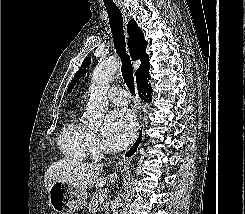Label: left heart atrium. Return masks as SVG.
I'll use <instances>...</instances> for the list:
<instances>
[{
	"label": "left heart atrium",
	"instance_id": "obj_1",
	"mask_svg": "<svg viewBox=\"0 0 245 214\" xmlns=\"http://www.w3.org/2000/svg\"><path fill=\"white\" fill-rule=\"evenodd\" d=\"M136 122L133 114L119 108L110 112L102 127V139L109 152H116L126 147L134 137Z\"/></svg>",
	"mask_w": 245,
	"mask_h": 214
}]
</instances>
